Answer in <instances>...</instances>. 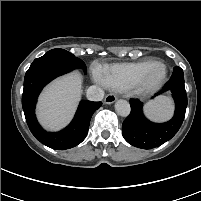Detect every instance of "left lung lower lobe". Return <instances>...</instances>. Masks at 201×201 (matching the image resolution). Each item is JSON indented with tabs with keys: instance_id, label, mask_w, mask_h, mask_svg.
<instances>
[{
	"instance_id": "obj_1",
	"label": "left lung lower lobe",
	"mask_w": 201,
	"mask_h": 201,
	"mask_svg": "<svg viewBox=\"0 0 201 201\" xmlns=\"http://www.w3.org/2000/svg\"><path fill=\"white\" fill-rule=\"evenodd\" d=\"M166 91H171L175 101L174 117L166 123L157 124L149 121L143 114L142 102L130 101L131 113L122 124L123 137L128 143L138 148L152 149L167 142L177 133L187 107L184 74L180 67H174L170 80L156 95Z\"/></svg>"
}]
</instances>
